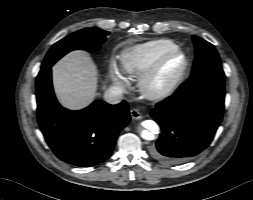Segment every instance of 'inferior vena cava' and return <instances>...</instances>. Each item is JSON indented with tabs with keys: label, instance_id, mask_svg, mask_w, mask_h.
Instances as JSON below:
<instances>
[{
	"label": "inferior vena cava",
	"instance_id": "inferior-vena-cava-1",
	"mask_svg": "<svg viewBox=\"0 0 253 200\" xmlns=\"http://www.w3.org/2000/svg\"><path fill=\"white\" fill-rule=\"evenodd\" d=\"M104 99L109 104H118L123 99V92L120 88L112 86L105 91Z\"/></svg>",
	"mask_w": 253,
	"mask_h": 200
}]
</instances>
